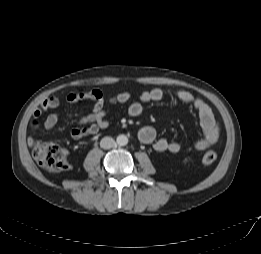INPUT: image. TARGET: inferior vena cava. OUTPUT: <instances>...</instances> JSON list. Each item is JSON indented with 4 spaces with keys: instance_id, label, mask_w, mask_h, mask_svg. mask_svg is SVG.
Returning <instances> with one entry per match:
<instances>
[{
    "instance_id": "1",
    "label": "inferior vena cava",
    "mask_w": 261,
    "mask_h": 254,
    "mask_svg": "<svg viewBox=\"0 0 261 254\" xmlns=\"http://www.w3.org/2000/svg\"><path fill=\"white\" fill-rule=\"evenodd\" d=\"M115 140L111 137H104L102 138V140L100 141V146L103 149H110L113 148L115 146Z\"/></svg>"
}]
</instances>
